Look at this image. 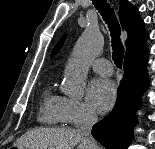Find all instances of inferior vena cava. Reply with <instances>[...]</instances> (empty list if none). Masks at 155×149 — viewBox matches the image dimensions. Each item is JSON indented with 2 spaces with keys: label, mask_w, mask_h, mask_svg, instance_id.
Masks as SVG:
<instances>
[{
  "label": "inferior vena cava",
  "mask_w": 155,
  "mask_h": 149,
  "mask_svg": "<svg viewBox=\"0 0 155 149\" xmlns=\"http://www.w3.org/2000/svg\"><path fill=\"white\" fill-rule=\"evenodd\" d=\"M97 120V116L94 113L87 112L80 124V131L84 136L85 143L89 146L88 149H98L97 142L91 135L92 127Z\"/></svg>",
  "instance_id": "inferior-vena-cava-1"
}]
</instances>
